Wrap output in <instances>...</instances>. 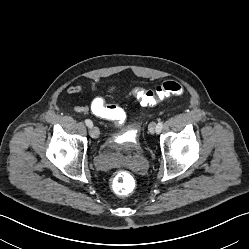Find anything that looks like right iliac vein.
I'll return each instance as SVG.
<instances>
[{
    "label": "right iliac vein",
    "instance_id": "63e3f726",
    "mask_svg": "<svg viewBox=\"0 0 249 249\" xmlns=\"http://www.w3.org/2000/svg\"><path fill=\"white\" fill-rule=\"evenodd\" d=\"M89 133L92 138H98L100 135V131L96 126L90 127Z\"/></svg>",
    "mask_w": 249,
    "mask_h": 249
}]
</instances>
